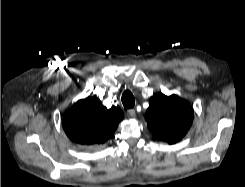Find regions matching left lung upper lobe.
Returning a JSON list of instances; mask_svg holds the SVG:
<instances>
[{
  "mask_svg": "<svg viewBox=\"0 0 245 187\" xmlns=\"http://www.w3.org/2000/svg\"><path fill=\"white\" fill-rule=\"evenodd\" d=\"M191 105L177 95L154 94L149 101L145 120L154 139L175 144L191 127L193 121Z\"/></svg>",
  "mask_w": 245,
  "mask_h": 187,
  "instance_id": "left-lung-upper-lobe-1",
  "label": "left lung upper lobe"
}]
</instances>
